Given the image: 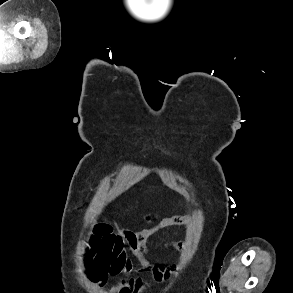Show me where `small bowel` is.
Returning a JSON list of instances; mask_svg holds the SVG:
<instances>
[{"label": "small bowel", "mask_w": 293, "mask_h": 293, "mask_svg": "<svg viewBox=\"0 0 293 293\" xmlns=\"http://www.w3.org/2000/svg\"><path fill=\"white\" fill-rule=\"evenodd\" d=\"M183 223L181 219L170 218L144 230H122L117 233H113L106 226H100L86 239L81 260L83 270L97 285H104L109 277L121 276L115 285L117 293H141L147 283L141 276L131 275L132 265L126 250L127 244L139 261L140 267L150 271L156 282L163 283L177 271V266L150 262L147 257L150 252L148 241L158 231ZM158 247L173 249L179 253L184 251V245L179 241H166Z\"/></svg>", "instance_id": "obj_1"}]
</instances>
